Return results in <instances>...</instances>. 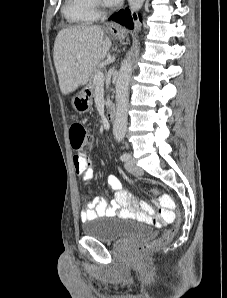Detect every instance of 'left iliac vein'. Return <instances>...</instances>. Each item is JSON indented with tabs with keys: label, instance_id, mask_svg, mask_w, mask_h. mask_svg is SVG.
<instances>
[{
	"label": "left iliac vein",
	"instance_id": "left-iliac-vein-1",
	"mask_svg": "<svg viewBox=\"0 0 227 298\" xmlns=\"http://www.w3.org/2000/svg\"><path fill=\"white\" fill-rule=\"evenodd\" d=\"M125 168L127 169L128 172H130L133 175H141L143 173V170L136 165V163L132 157H130L126 161Z\"/></svg>",
	"mask_w": 227,
	"mask_h": 298
}]
</instances>
